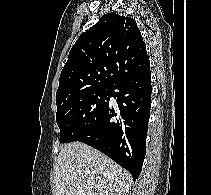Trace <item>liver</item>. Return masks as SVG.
Listing matches in <instances>:
<instances>
[{
	"label": "liver",
	"mask_w": 211,
	"mask_h": 195,
	"mask_svg": "<svg viewBox=\"0 0 211 195\" xmlns=\"http://www.w3.org/2000/svg\"><path fill=\"white\" fill-rule=\"evenodd\" d=\"M54 195H128L131 174L81 142L62 146L54 172Z\"/></svg>",
	"instance_id": "1"
}]
</instances>
